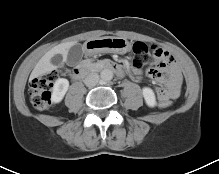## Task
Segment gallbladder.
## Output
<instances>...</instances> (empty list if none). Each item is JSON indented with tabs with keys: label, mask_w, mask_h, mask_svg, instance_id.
Listing matches in <instances>:
<instances>
[{
	"label": "gallbladder",
	"mask_w": 219,
	"mask_h": 174,
	"mask_svg": "<svg viewBox=\"0 0 219 174\" xmlns=\"http://www.w3.org/2000/svg\"><path fill=\"white\" fill-rule=\"evenodd\" d=\"M83 46L80 44L73 45L67 55V64L70 66L77 65L83 57Z\"/></svg>",
	"instance_id": "obj_1"
}]
</instances>
